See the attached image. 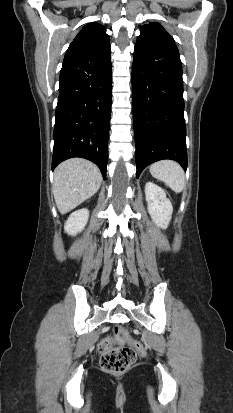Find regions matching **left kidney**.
I'll return each mask as SVG.
<instances>
[{
	"label": "left kidney",
	"instance_id": "obj_1",
	"mask_svg": "<svg viewBox=\"0 0 233 413\" xmlns=\"http://www.w3.org/2000/svg\"><path fill=\"white\" fill-rule=\"evenodd\" d=\"M145 196L148 212L157 226L166 229L173 212L170 200L166 197L165 191L152 182L145 185Z\"/></svg>",
	"mask_w": 233,
	"mask_h": 413
}]
</instances>
